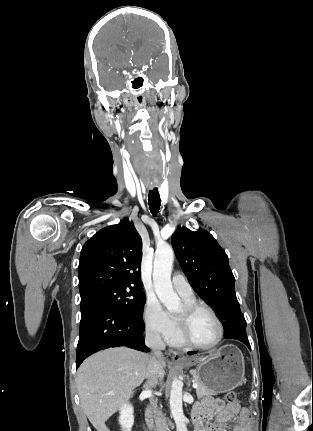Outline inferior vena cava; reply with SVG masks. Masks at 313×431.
<instances>
[{
	"mask_svg": "<svg viewBox=\"0 0 313 431\" xmlns=\"http://www.w3.org/2000/svg\"><path fill=\"white\" fill-rule=\"evenodd\" d=\"M145 344L152 350V357L149 363L146 377L148 378L147 390L151 391L156 384L158 379L162 380L164 376L163 366L160 362L162 358V350L165 349V344L162 341L159 333L152 329L146 330ZM151 407L154 409L156 418L157 431H167L168 425L165 419L162 417L161 411L157 408V401H151ZM169 431V430H168Z\"/></svg>",
	"mask_w": 313,
	"mask_h": 431,
	"instance_id": "1",
	"label": "inferior vena cava"
}]
</instances>
